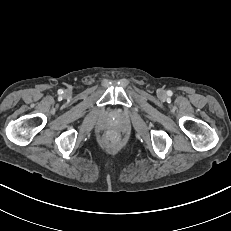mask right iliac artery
Segmentation results:
<instances>
[{
    "label": "right iliac artery",
    "instance_id": "right-iliac-artery-1",
    "mask_svg": "<svg viewBox=\"0 0 231 231\" xmlns=\"http://www.w3.org/2000/svg\"><path fill=\"white\" fill-rule=\"evenodd\" d=\"M63 93V90H59V94H62Z\"/></svg>",
    "mask_w": 231,
    "mask_h": 231
}]
</instances>
